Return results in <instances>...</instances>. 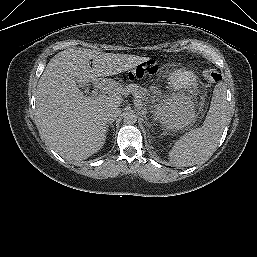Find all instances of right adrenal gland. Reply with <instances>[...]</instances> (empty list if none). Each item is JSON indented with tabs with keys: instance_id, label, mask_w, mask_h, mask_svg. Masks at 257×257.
I'll return each mask as SVG.
<instances>
[{
	"instance_id": "2a0ac1e0",
	"label": "right adrenal gland",
	"mask_w": 257,
	"mask_h": 257,
	"mask_svg": "<svg viewBox=\"0 0 257 257\" xmlns=\"http://www.w3.org/2000/svg\"><path fill=\"white\" fill-rule=\"evenodd\" d=\"M113 122H114V121L108 122V124H107V131H109V127H111V128L115 131Z\"/></svg>"
}]
</instances>
